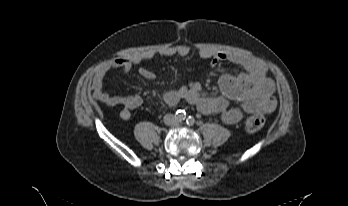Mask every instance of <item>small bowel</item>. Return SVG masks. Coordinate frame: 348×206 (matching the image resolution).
<instances>
[{"label": "small bowel", "mask_w": 348, "mask_h": 206, "mask_svg": "<svg viewBox=\"0 0 348 206\" xmlns=\"http://www.w3.org/2000/svg\"><path fill=\"white\" fill-rule=\"evenodd\" d=\"M188 46L181 45L165 49L161 52L146 51L134 53L126 57L117 58L102 66L93 80V95L96 100L108 106H122L120 117L129 120L131 111L140 107L143 99L138 94L115 96L105 90L106 75L111 69L130 71L138 68L139 74L153 80L155 74L141 66L157 57H185L189 54ZM201 58L209 60L213 67L220 61L229 60L244 68V72L237 74L226 73L221 76L219 86L221 95L208 96L202 93L201 84L197 81L189 82L178 89L169 90L164 94L165 101L170 105L185 99L205 115L218 116L224 123L233 125L244 117L256 113H270L275 110L277 101L274 96L275 84L267 77L266 68L260 62L241 54H226L213 52L203 48L199 51ZM238 105L231 107V102Z\"/></svg>", "instance_id": "c3829d8e"}]
</instances>
